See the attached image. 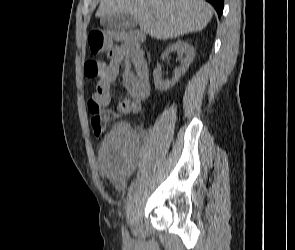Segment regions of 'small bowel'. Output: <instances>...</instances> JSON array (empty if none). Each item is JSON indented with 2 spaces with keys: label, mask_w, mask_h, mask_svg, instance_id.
<instances>
[{
  "label": "small bowel",
  "mask_w": 295,
  "mask_h": 250,
  "mask_svg": "<svg viewBox=\"0 0 295 250\" xmlns=\"http://www.w3.org/2000/svg\"><path fill=\"white\" fill-rule=\"evenodd\" d=\"M109 61L104 63V70L91 97L101 108H106L111 101V86L121 75L124 64L122 83L127 96L118 103L121 113L138 112L142 102L149 96V70L142 51L132 52L121 44L109 51ZM136 139L132 129L125 124L115 126L104 138L99 150V168L115 186L121 184L131 173Z\"/></svg>",
  "instance_id": "1"
}]
</instances>
